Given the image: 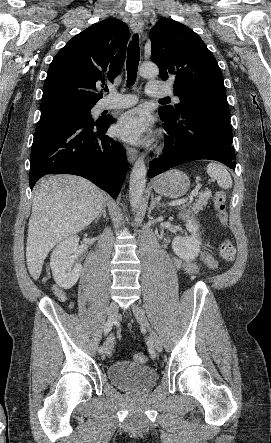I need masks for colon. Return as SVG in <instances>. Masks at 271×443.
Here are the masks:
<instances>
[{
	"instance_id": "5ec220e1",
	"label": "colon",
	"mask_w": 271,
	"mask_h": 443,
	"mask_svg": "<svg viewBox=\"0 0 271 443\" xmlns=\"http://www.w3.org/2000/svg\"><path fill=\"white\" fill-rule=\"evenodd\" d=\"M214 205L218 221L222 225L225 224L227 220V202L226 194L223 191H218L215 194ZM219 254L226 262L234 261L236 250L230 240L225 239L220 243ZM133 358L138 363H147L148 361V357L144 353H136Z\"/></svg>"
}]
</instances>
